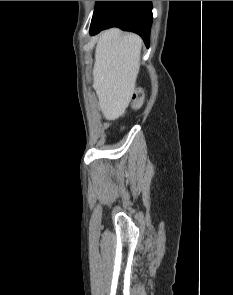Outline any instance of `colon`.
<instances>
[{
	"label": "colon",
	"mask_w": 233,
	"mask_h": 295,
	"mask_svg": "<svg viewBox=\"0 0 233 295\" xmlns=\"http://www.w3.org/2000/svg\"><path fill=\"white\" fill-rule=\"evenodd\" d=\"M135 105L136 106H139L140 103H141V95L140 94H137L136 97H135Z\"/></svg>",
	"instance_id": "obj_1"
}]
</instances>
